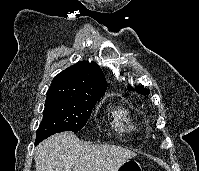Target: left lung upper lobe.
Segmentation results:
<instances>
[{
	"mask_svg": "<svg viewBox=\"0 0 199 171\" xmlns=\"http://www.w3.org/2000/svg\"><path fill=\"white\" fill-rule=\"evenodd\" d=\"M136 92L139 93V94H149L150 91L148 89H145L143 86L141 87H136L135 88Z\"/></svg>",
	"mask_w": 199,
	"mask_h": 171,
	"instance_id": "left-lung-upper-lobe-1",
	"label": "left lung upper lobe"
}]
</instances>
